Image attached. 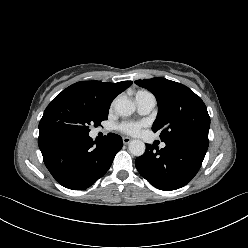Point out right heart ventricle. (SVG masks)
<instances>
[{
  "label": "right heart ventricle",
  "mask_w": 248,
  "mask_h": 248,
  "mask_svg": "<svg viewBox=\"0 0 248 248\" xmlns=\"http://www.w3.org/2000/svg\"><path fill=\"white\" fill-rule=\"evenodd\" d=\"M140 93H146V91H138L136 95H138Z\"/></svg>",
  "instance_id": "right-heart-ventricle-1"
}]
</instances>
